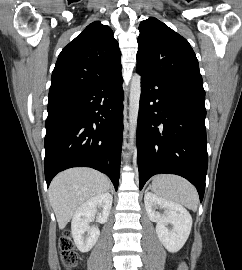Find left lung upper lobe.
Returning a JSON list of instances; mask_svg holds the SVG:
<instances>
[{
    "instance_id": "obj_1",
    "label": "left lung upper lobe",
    "mask_w": 242,
    "mask_h": 270,
    "mask_svg": "<svg viewBox=\"0 0 242 270\" xmlns=\"http://www.w3.org/2000/svg\"><path fill=\"white\" fill-rule=\"evenodd\" d=\"M140 72L174 88L205 95L196 55L188 41L154 17L139 25Z\"/></svg>"
}]
</instances>
